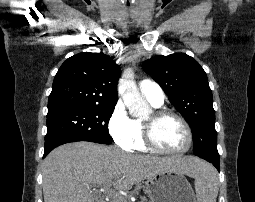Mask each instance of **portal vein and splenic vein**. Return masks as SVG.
Segmentation results:
<instances>
[{
	"instance_id": "portal-vein-and-splenic-vein-1",
	"label": "portal vein and splenic vein",
	"mask_w": 255,
	"mask_h": 202,
	"mask_svg": "<svg viewBox=\"0 0 255 202\" xmlns=\"http://www.w3.org/2000/svg\"><path fill=\"white\" fill-rule=\"evenodd\" d=\"M112 185V181L110 180V181H108V182H106V192H109L110 191V189L108 188L109 186H111Z\"/></svg>"
}]
</instances>
